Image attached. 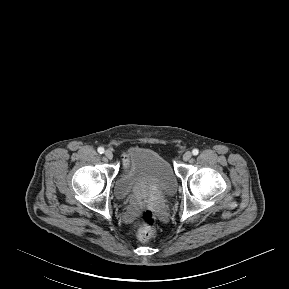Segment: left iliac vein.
I'll list each match as a JSON object with an SVG mask.
<instances>
[{
    "instance_id": "1",
    "label": "left iliac vein",
    "mask_w": 289,
    "mask_h": 289,
    "mask_svg": "<svg viewBox=\"0 0 289 289\" xmlns=\"http://www.w3.org/2000/svg\"><path fill=\"white\" fill-rule=\"evenodd\" d=\"M192 157V153L190 151H186L184 154H183V160L184 161H188L190 160Z\"/></svg>"
}]
</instances>
